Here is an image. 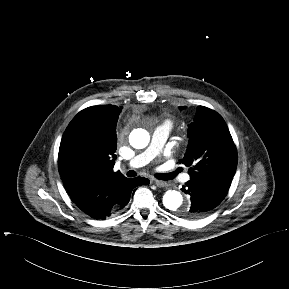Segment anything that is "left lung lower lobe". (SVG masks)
I'll return each instance as SVG.
<instances>
[{
    "instance_id": "0a47b994",
    "label": "left lung lower lobe",
    "mask_w": 289,
    "mask_h": 289,
    "mask_svg": "<svg viewBox=\"0 0 289 289\" xmlns=\"http://www.w3.org/2000/svg\"><path fill=\"white\" fill-rule=\"evenodd\" d=\"M185 185L182 190L191 196V206L184 213L188 218H199L208 214L220 204L229 189L214 183L191 179Z\"/></svg>"
}]
</instances>
